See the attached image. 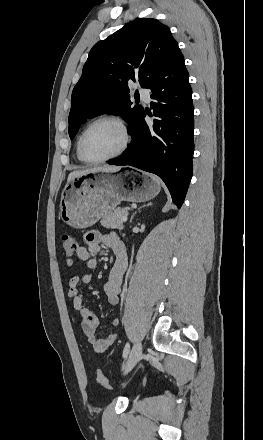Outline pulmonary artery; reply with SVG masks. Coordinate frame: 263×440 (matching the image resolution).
<instances>
[{
	"instance_id": "e3ab8cb5",
	"label": "pulmonary artery",
	"mask_w": 263,
	"mask_h": 440,
	"mask_svg": "<svg viewBox=\"0 0 263 440\" xmlns=\"http://www.w3.org/2000/svg\"><path fill=\"white\" fill-rule=\"evenodd\" d=\"M140 96L143 99V101H145L147 103L150 101V93H149L148 89H146V88L140 89Z\"/></svg>"
}]
</instances>
